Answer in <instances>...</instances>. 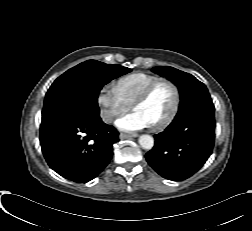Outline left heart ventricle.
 <instances>
[{"label": "left heart ventricle", "instance_id": "1", "mask_svg": "<svg viewBox=\"0 0 252 231\" xmlns=\"http://www.w3.org/2000/svg\"><path fill=\"white\" fill-rule=\"evenodd\" d=\"M174 101V93L167 82L159 83L149 98L134 108L148 123L153 126L162 121L170 112Z\"/></svg>", "mask_w": 252, "mask_h": 231}]
</instances>
